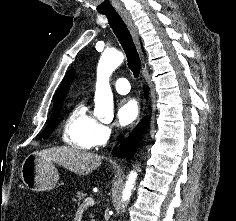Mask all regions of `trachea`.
<instances>
[{"label": "trachea", "mask_w": 236, "mask_h": 221, "mask_svg": "<svg viewBox=\"0 0 236 221\" xmlns=\"http://www.w3.org/2000/svg\"><path fill=\"white\" fill-rule=\"evenodd\" d=\"M102 14L107 16L110 27L125 51L129 69L138 78L141 68L140 58L126 24L116 11L103 12Z\"/></svg>", "instance_id": "3493384b"}]
</instances>
